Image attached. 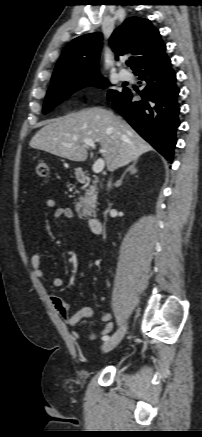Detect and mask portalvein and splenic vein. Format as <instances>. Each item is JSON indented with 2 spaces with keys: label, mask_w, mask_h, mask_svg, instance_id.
Segmentation results:
<instances>
[{
  "label": "portal vein and splenic vein",
  "mask_w": 202,
  "mask_h": 437,
  "mask_svg": "<svg viewBox=\"0 0 202 437\" xmlns=\"http://www.w3.org/2000/svg\"><path fill=\"white\" fill-rule=\"evenodd\" d=\"M83 142L86 146L91 147L93 149H95V143L93 140L88 139V138H84ZM105 166V162L103 159L99 158L95 161V163L93 164L92 170L94 173H100L102 172V170L104 169Z\"/></svg>",
  "instance_id": "18ae733b"
}]
</instances>
